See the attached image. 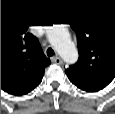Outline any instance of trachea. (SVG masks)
<instances>
[{
    "mask_svg": "<svg viewBox=\"0 0 115 114\" xmlns=\"http://www.w3.org/2000/svg\"><path fill=\"white\" fill-rule=\"evenodd\" d=\"M55 53H54V50L52 49V48H48L47 49V55L49 56V57H51V56H53Z\"/></svg>",
    "mask_w": 115,
    "mask_h": 114,
    "instance_id": "1",
    "label": "trachea"
}]
</instances>
